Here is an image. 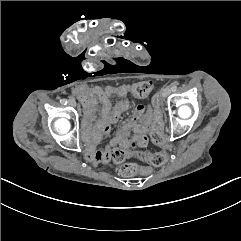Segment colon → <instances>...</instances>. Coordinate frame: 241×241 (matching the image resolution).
<instances>
[{
    "mask_svg": "<svg viewBox=\"0 0 241 241\" xmlns=\"http://www.w3.org/2000/svg\"><path fill=\"white\" fill-rule=\"evenodd\" d=\"M152 92V85L149 82H139L138 84H131L128 87V94L133 98H140L141 96L149 95ZM153 106L156 112L157 121L152 132V141L158 145L164 143L163 137V123L161 120L160 103L158 97H153ZM130 156H139L144 158L149 164L141 166L132 165L131 163L117 166L115 171L120 175H136L137 173L148 176L153 171V166H160L166 162V157L159 153L151 151H143L141 149L125 150V153H111L113 161L119 163Z\"/></svg>",
    "mask_w": 241,
    "mask_h": 241,
    "instance_id": "colon-1",
    "label": "colon"
}]
</instances>
